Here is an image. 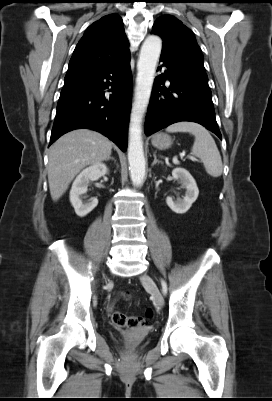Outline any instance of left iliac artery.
Listing matches in <instances>:
<instances>
[{
	"instance_id": "left-iliac-artery-1",
	"label": "left iliac artery",
	"mask_w": 272,
	"mask_h": 401,
	"mask_svg": "<svg viewBox=\"0 0 272 401\" xmlns=\"http://www.w3.org/2000/svg\"><path fill=\"white\" fill-rule=\"evenodd\" d=\"M162 289H163V293L164 294H166V292H167V285H166V283L162 280Z\"/></svg>"
}]
</instances>
